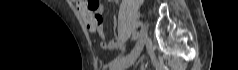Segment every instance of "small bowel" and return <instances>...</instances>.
I'll use <instances>...</instances> for the list:
<instances>
[{
  "mask_svg": "<svg viewBox=\"0 0 238 70\" xmlns=\"http://www.w3.org/2000/svg\"><path fill=\"white\" fill-rule=\"evenodd\" d=\"M77 9L80 13L83 22L85 23L87 29L91 33H95L100 38V45L103 49L114 50L121 48V42L118 37H115L112 41L107 42L103 27L102 19V7L97 2L92 5V1H77ZM116 23V19H114Z\"/></svg>",
  "mask_w": 238,
  "mask_h": 70,
  "instance_id": "c3829d8e",
  "label": "small bowel"
}]
</instances>
